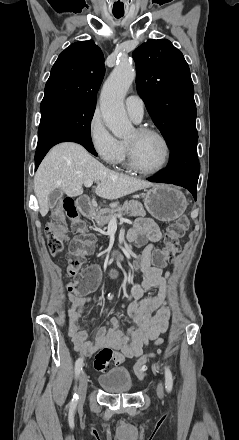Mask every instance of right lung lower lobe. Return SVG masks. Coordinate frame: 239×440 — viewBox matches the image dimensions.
<instances>
[{
    "mask_svg": "<svg viewBox=\"0 0 239 440\" xmlns=\"http://www.w3.org/2000/svg\"><path fill=\"white\" fill-rule=\"evenodd\" d=\"M72 141L83 145L89 152L97 156V153L91 142L90 135L75 130H58L46 133L39 137L37 149L35 153V170L40 162L49 151V149L57 143Z\"/></svg>",
    "mask_w": 239,
    "mask_h": 440,
    "instance_id": "1",
    "label": "right lung lower lobe"
}]
</instances>
